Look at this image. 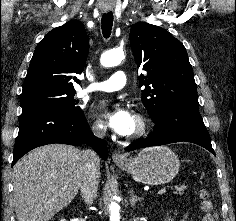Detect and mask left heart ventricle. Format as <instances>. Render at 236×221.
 Masks as SVG:
<instances>
[{"instance_id": "b2bd125f", "label": "left heart ventricle", "mask_w": 236, "mask_h": 221, "mask_svg": "<svg viewBox=\"0 0 236 221\" xmlns=\"http://www.w3.org/2000/svg\"><path fill=\"white\" fill-rule=\"evenodd\" d=\"M135 126H136V124H135V120H134V124H133V128H132L131 132H133V131H134V129H135Z\"/></svg>"}]
</instances>
